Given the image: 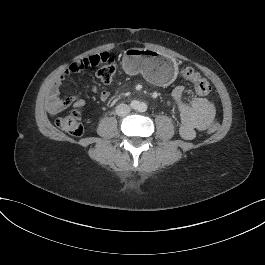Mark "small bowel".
Returning a JSON list of instances; mask_svg holds the SVG:
<instances>
[{
    "label": "small bowel",
    "instance_id": "c3829d8e",
    "mask_svg": "<svg viewBox=\"0 0 265 265\" xmlns=\"http://www.w3.org/2000/svg\"><path fill=\"white\" fill-rule=\"evenodd\" d=\"M63 76L55 80L49 96V109L56 112L73 105L74 107H82L85 101L76 96L62 98L59 88L62 83ZM88 89L96 93L103 102L109 100L110 93L106 90H99L95 85H90ZM185 87L178 85L173 90V98L176 108L180 115L179 131L183 138L193 139L198 131L206 129L209 123L214 119L216 109L214 104L205 97L200 95L193 96L189 103L184 100Z\"/></svg>",
    "mask_w": 265,
    "mask_h": 265
}]
</instances>
